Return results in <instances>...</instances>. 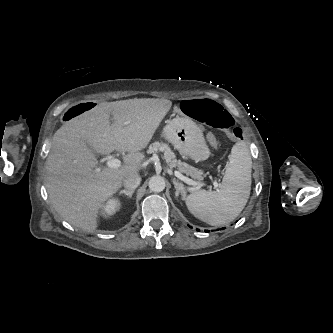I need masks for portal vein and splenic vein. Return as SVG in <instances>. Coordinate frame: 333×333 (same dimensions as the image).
<instances>
[{
    "label": "portal vein and splenic vein",
    "instance_id": "portal-vein-and-splenic-vein-1",
    "mask_svg": "<svg viewBox=\"0 0 333 333\" xmlns=\"http://www.w3.org/2000/svg\"><path fill=\"white\" fill-rule=\"evenodd\" d=\"M107 166L109 168H119L121 166V161L117 158H111L107 161ZM174 175L180 179L181 181L185 182L188 185H198V186H203L204 184L199 183L197 181H194L186 176H184L183 174H181L179 171L175 170L174 171ZM214 187L217 188L218 187V183L214 182Z\"/></svg>",
    "mask_w": 333,
    "mask_h": 333
}]
</instances>
